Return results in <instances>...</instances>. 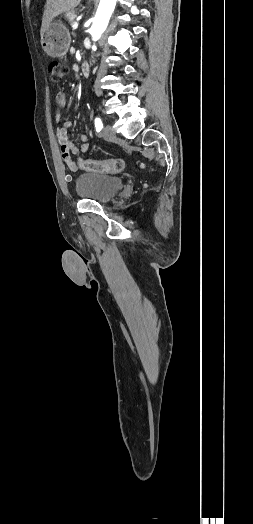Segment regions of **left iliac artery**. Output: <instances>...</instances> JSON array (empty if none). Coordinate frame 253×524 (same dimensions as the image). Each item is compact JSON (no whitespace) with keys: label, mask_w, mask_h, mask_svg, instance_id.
Instances as JSON below:
<instances>
[{"label":"left iliac artery","mask_w":253,"mask_h":524,"mask_svg":"<svg viewBox=\"0 0 253 524\" xmlns=\"http://www.w3.org/2000/svg\"><path fill=\"white\" fill-rule=\"evenodd\" d=\"M95 127L97 132L101 131V129L103 128V123L99 117L95 118Z\"/></svg>","instance_id":"1"}]
</instances>
